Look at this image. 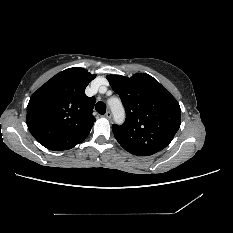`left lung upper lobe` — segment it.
Returning a JSON list of instances; mask_svg holds the SVG:
<instances>
[{"label": "left lung upper lobe", "instance_id": "left-lung-upper-lobe-1", "mask_svg": "<svg viewBox=\"0 0 233 233\" xmlns=\"http://www.w3.org/2000/svg\"><path fill=\"white\" fill-rule=\"evenodd\" d=\"M110 86L125 107L123 125H112L118 143L137 156L155 154L174 138L180 127L177 100L156 79L145 73L131 78L108 75Z\"/></svg>", "mask_w": 233, "mask_h": 233}]
</instances>
